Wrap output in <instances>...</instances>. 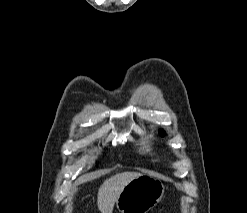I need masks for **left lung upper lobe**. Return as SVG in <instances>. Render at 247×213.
<instances>
[{
    "mask_svg": "<svg viewBox=\"0 0 247 213\" xmlns=\"http://www.w3.org/2000/svg\"><path fill=\"white\" fill-rule=\"evenodd\" d=\"M161 136H164L165 133L163 131L159 132Z\"/></svg>",
    "mask_w": 247,
    "mask_h": 213,
    "instance_id": "5c2ea615",
    "label": "left lung upper lobe"
}]
</instances>
